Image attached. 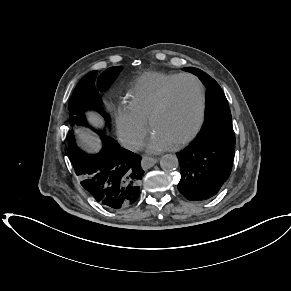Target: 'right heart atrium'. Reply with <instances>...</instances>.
I'll return each instance as SVG.
<instances>
[{"label": "right heart atrium", "mask_w": 291, "mask_h": 291, "mask_svg": "<svg viewBox=\"0 0 291 291\" xmlns=\"http://www.w3.org/2000/svg\"><path fill=\"white\" fill-rule=\"evenodd\" d=\"M117 129L121 141L129 148L137 150L148 133V125L132 114L128 106L118 111Z\"/></svg>", "instance_id": "1"}]
</instances>
